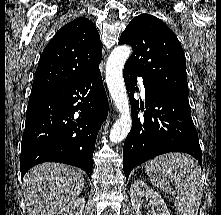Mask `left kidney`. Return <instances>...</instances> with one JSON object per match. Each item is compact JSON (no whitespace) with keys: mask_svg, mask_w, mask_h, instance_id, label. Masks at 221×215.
<instances>
[{"mask_svg":"<svg viewBox=\"0 0 221 215\" xmlns=\"http://www.w3.org/2000/svg\"><path fill=\"white\" fill-rule=\"evenodd\" d=\"M131 203L137 215H142L143 198L149 199V204L159 214L170 215L169 210L162 197L153 189L149 188L147 184L140 180H135L130 187Z\"/></svg>","mask_w":221,"mask_h":215,"instance_id":"obj_1","label":"left kidney"}]
</instances>
